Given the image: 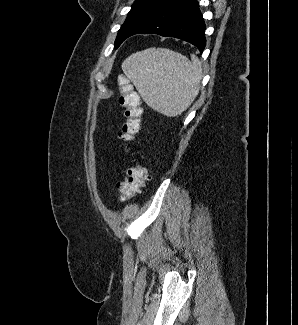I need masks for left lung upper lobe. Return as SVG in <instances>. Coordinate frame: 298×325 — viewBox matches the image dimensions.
I'll use <instances>...</instances> for the list:
<instances>
[{
	"label": "left lung upper lobe",
	"mask_w": 298,
	"mask_h": 325,
	"mask_svg": "<svg viewBox=\"0 0 298 325\" xmlns=\"http://www.w3.org/2000/svg\"><path fill=\"white\" fill-rule=\"evenodd\" d=\"M161 0H136L132 5V9L128 13L127 19L118 31L115 41V47L120 44L129 36L130 31L136 24L146 16Z\"/></svg>",
	"instance_id": "left-lung-upper-lobe-1"
}]
</instances>
